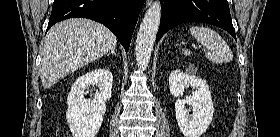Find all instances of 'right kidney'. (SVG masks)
Returning <instances> with one entry per match:
<instances>
[{
	"instance_id": "obj_1",
	"label": "right kidney",
	"mask_w": 280,
	"mask_h": 137,
	"mask_svg": "<svg viewBox=\"0 0 280 137\" xmlns=\"http://www.w3.org/2000/svg\"><path fill=\"white\" fill-rule=\"evenodd\" d=\"M113 76L108 69L90 71L73 83L67 97L66 120L73 137H95L106 112V101L112 93ZM90 86H97L94 99L85 98Z\"/></svg>"
}]
</instances>
